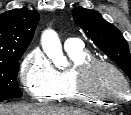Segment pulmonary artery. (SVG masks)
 <instances>
[{
    "instance_id": "1",
    "label": "pulmonary artery",
    "mask_w": 131,
    "mask_h": 115,
    "mask_svg": "<svg viewBox=\"0 0 131 115\" xmlns=\"http://www.w3.org/2000/svg\"><path fill=\"white\" fill-rule=\"evenodd\" d=\"M65 49H75L81 47V41L77 38H69L65 41L64 44Z\"/></svg>"
}]
</instances>
